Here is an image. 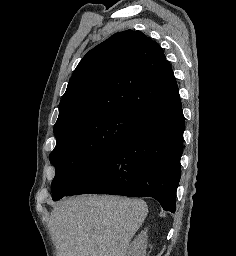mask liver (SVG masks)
Here are the masks:
<instances>
[{"mask_svg": "<svg viewBox=\"0 0 236 256\" xmlns=\"http://www.w3.org/2000/svg\"><path fill=\"white\" fill-rule=\"evenodd\" d=\"M147 214L144 200L95 194L61 200L50 216L56 256H127Z\"/></svg>", "mask_w": 236, "mask_h": 256, "instance_id": "1", "label": "liver"}]
</instances>
